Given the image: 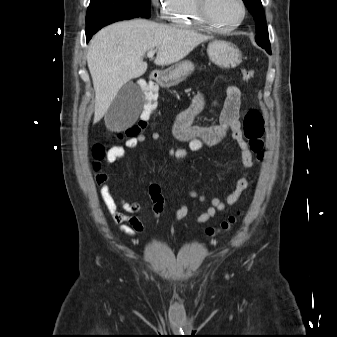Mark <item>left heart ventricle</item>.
<instances>
[{"mask_svg": "<svg viewBox=\"0 0 337 337\" xmlns=\"http://www.w3.org/2000/svg\"><path fill=\"white\" fill-rule=\"evenodd\" d=\"M211 17L221 25L237 22L242 14L238 0H209Z\"/></svg>", "mask_w": 337, "mask_h": 337, "instance_id": "obj_1", "label": "left heart ventricle"}]
</instances>
